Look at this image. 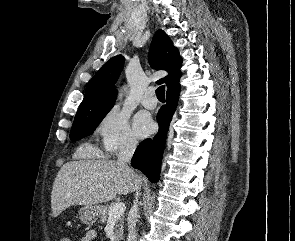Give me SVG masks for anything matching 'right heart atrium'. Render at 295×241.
<instances>
[{"mask_svg": "<svg viewBox=\"0 0 295 241\" xmlns=\"http://www.w3.org/2000/svg\"><path fill=\"white\" fill-rule=\"evenodd\" d=\"M94 135L106 155L132 149L137 144L127 116L117 107L109 109L98 119Z\"/></svg>", "mask_w": 295, "mask_h": 241, "instance_id": "1", "label": "right heart atrium"}]
</instances>
